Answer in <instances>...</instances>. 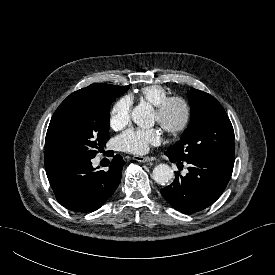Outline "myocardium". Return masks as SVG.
Wrapping results in <instances>:
<instances>
[{
    "label": "myocardium",
    "mask_w": 275,
    "mask_h": 275,
    "mask_svg": "<svg viewBox=\"0 0 275 275\" xmlns=\"http://www.w3.org/2000/svg\"><path fill=\"white\" fill-rule=\"evenodd\" d=\"M174 107H179L181 110V118L176 123L170 120V113ZM155 113L158 124L171 135H178L186 131L193 117L191 103L187 98L180 95L168 96L156 106Z\"/></svg>",
    "instance_id": "1"
}]
</instances>
